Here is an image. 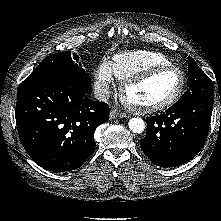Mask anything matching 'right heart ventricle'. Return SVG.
Wrapping results in <instances>:
<instances>
[{
	"label": "right heart ventricle",
	"instance_id": "e07e8e85",
	"mask_svg": "<svg viewBox=\"0 0 221 221\" xmlns=\"http://www.w3.org/2000/svg\"><path fill=\"white\" fill-rule=\"evenodd\" d=\"M162 65H173V63L165 55L147 50L119 52L110 62L112 72L119 80H125L140 71Z\"/></svg>",
	"mask_w": 221,
	"mask_h": 221
}]
</instances>
